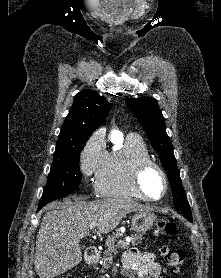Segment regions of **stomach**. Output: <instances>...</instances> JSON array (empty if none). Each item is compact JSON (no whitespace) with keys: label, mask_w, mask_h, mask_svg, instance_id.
<instances>
[{"label":"stomach","mask_w":221,"mask_h":278,"mask_svg":"<svg viewBox=\"0 0 221 278\" xmlns=\"http://www.w3.org/2000/svg\"><path fill=\"white\" fill-rule=\"evenodd\" d=\"M156 218L151 210L138 211L132 218V229L143 234L155 225Z\"/></svg>","instance_id":"0dacf381"}]
</instances>
